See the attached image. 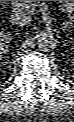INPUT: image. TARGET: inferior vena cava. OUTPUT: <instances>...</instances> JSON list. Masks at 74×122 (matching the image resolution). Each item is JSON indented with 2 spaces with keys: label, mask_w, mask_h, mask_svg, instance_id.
Instances as JSON below:
<instances>
[{
  "label": "inferior vena cava",
  "mask_w": 74,
  "mask_h": 122,
  "mask_svg": "<svg viewBox=\"0 0 74 122\" xmlns=\"http://www.w3.org/2000/svg\"><path fill=\"white\" fill-rule=\"evenodd\" d=\"M10 20L13 24L19 26H28L31 23V17L23 11H15Z\"/></svg>",
  "instance_id": "602c4592"
}]
</instances>
